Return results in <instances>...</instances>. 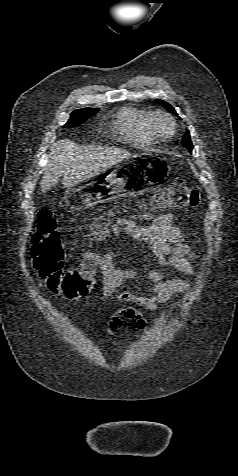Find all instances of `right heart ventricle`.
<instances>
[{"label": "right heart ventricle", "mask_w": 238, "mask_h": 476, "mask_svg": "<svg viewBox=\"0 0 238 476\" xmlns=\"http://www.w3.org/2000/svg\"><path fill=\"white\" fill-rule=\"evenodd\" d=\"M149 113L143 109L126 106L117 116V130L128 143L137 147H150L155 140L147 129Z\"/></svg>", "instance_id": "obj_1"}]
</instances>
